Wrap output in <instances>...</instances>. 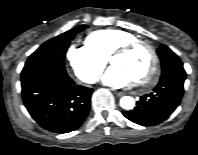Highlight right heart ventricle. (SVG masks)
Returning a JSON list of instances; mask_svg holds the SVG:
<instances>
[{
	"label": "right heart ventricle",
	"mask_w": 198,
	"mask_h": 155,
	"mask_svg": "<svg viewBox=\"0 0 198 155\" xmlns=\"http://www.w3.org/2000/svg\"><path fill=\"white\" fill-rule=\"evenodd\" d=\"M134 39H137L136 36L128 31L106 28L90 33L87 37V43L106 59L120 45Z\"/></svg>",
	"instance_id": "1"
}]
</instances>
